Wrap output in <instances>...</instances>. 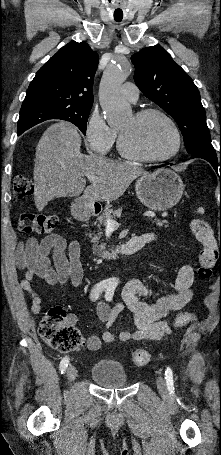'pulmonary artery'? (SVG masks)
<instances>
[{
	"label": "pulmonary artery",
	"instance_id": "obj_1",
	"mask_svg": "<svg viewBox=\"0 0 221 455\" xmlns=\"http://www.w3.org/2000/svg\"><path fill=\"white\" fill-rule=\"evenodd\" d=\"M121 95L130 102H136L139 97V90L134 83L126 82L121 86Z\"/></svg>",
	"mask_w": 221,
	"mask_h": 455
}]
</instances>
